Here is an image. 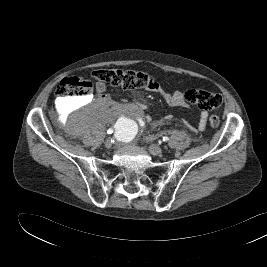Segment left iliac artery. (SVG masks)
<instances>
[{
  "label": "left iliac artery",
  "mask_w": 267,
  "mask_h": 267,
  "mask_svg": "<svg viewBox=\"0 0 267 267\" xmlns=\"http://www.w3.org/2000/svg\"><path fill=\"white\" fill-rule=\"evenodd\" d=\"M162 140H163V142H167V141L169 140V138H168L167 136H164V137L162 138Z\"/></svg>",
  "instance_id": "left-iliac-artery-1"
}]
</instances>
